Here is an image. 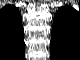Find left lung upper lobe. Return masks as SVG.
I'll list each match as a JSON object with an SVG mask.
<instances>
[{"label":"left lung upper lobe","instance_id":"obj_1","mask_svg":"<svg viewBox=\"0 0 80 60\" xmlns=\"http://www.w3.org/2000/svg\"><path fill=\"white\" fill-rule=\"evenodd\" d=\"M76 11L70 6L61 7L54 18L52 28V45L51 50L56 51L55 38L62 46V50H67L71 47L74 35H72L74 16ZM79 37H77L78 40Z\"/></svg>","mask_w":80,"mask_h":60}]
</instances>
